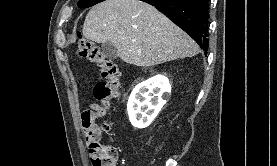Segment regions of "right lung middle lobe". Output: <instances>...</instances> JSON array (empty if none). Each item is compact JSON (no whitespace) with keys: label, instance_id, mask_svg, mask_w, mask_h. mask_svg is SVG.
Segmentation results:
<instances>
[{"label":"right lung middle lobe","instance_id":"right-lung-middle-lobe-1","mask_svg":"<svg viewBox=\"0 0 277 166\" xmlns=\"http://www.w3.org/2000/svg\"><path fill=\"white\" fill-rule=\"evenodd\" d=\"M102 1H104V0H80L78 2V7L85 9V8L91 7L97 3H100Z\"/></svg>","mask_w":277,"mask_h":166}]
</instances>
